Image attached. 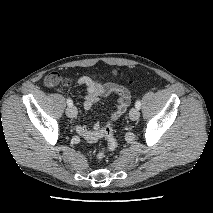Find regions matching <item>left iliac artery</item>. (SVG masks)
<instances>
[{
  "instance_id": "obj_1",
  "label": "left iliac artery",
  "mask_w": 213,
  "mask_h": 213,
  "mask_svg": "<svg viewBox=\"0 0 213 213\" xmlns=\"http://www.w3.org/2000/svg\"><path fill=\"white\" fill-rule=\"evenodd\" d=\"M135 107H136L137 109H140V108H141V101H140V100H137V101H136Z\"/></svg>"
}]
</instances>
